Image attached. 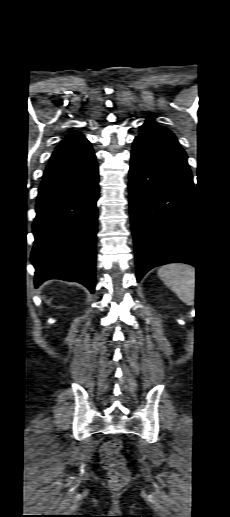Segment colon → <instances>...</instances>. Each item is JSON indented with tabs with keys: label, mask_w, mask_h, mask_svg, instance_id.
Here are the masks:
<instances>
[{
	"label": "colon",
	"mask_w": 230,
	"mask_h": 517,
	"mask_svg": "<svg viewBox=\"0 0 230 517\" xmlns=\"http://www.w3.org/2000/svg\"><path fill=\"white\" fill-rule=\"evenodd\" d=\"M122 448L120 440L112 439L105 442L100 449L101 463L108 473L109 484L113 488L124 486L130 478Z\"/></svg>",
	"instance_id": "obj_1"
}]
</instances>
